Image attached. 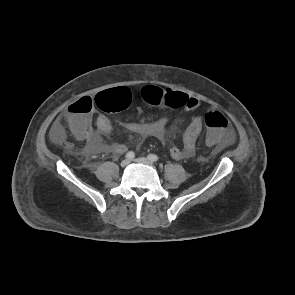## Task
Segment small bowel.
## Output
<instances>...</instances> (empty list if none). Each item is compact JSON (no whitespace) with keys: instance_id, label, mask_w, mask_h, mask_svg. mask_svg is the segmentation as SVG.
<instances>
[{"instance_id":"c3829d8e","label":"small bowel","mask_w":295,"mask_h":295,"mask_svg":"<svg viewBox=\"0 0 295 295\" xmlns=\"http://www.w3.org/2000/svg\"><path fill=\"white\" fill-rule=\"evenodd\" d=\"M201 108V101L195 97H189L184 106L187 114H193ZM169 123L167 116L161 117L150 122H122L121 125L128 131L144 135L153 136L160 140L164 139L166 127ZM91 114L80 120L77 128L73 129L75 136L85 141L86 149L91 154L110 153L119 155L126 151V146L120 142L108 143L104 137L108 136L112 131L110 120L103 114L97 115L95 118V128L92 126ZM203 128V116L195 115L182 136V146H174L170 149V156L173 159H189L195 154L196 140ZM51 137L55 143L64 142V132L61 124L55 122L51 129Z\"/></svg>"}]
</instances>
